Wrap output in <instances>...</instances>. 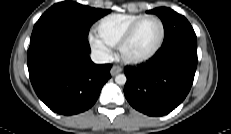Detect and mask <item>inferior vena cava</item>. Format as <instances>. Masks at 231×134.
Returning <instances> with one entry per match:
<instances>
[{
  "label": "inferior vena cava",
  "mask_w": 231,
  "mask_h": 134,
  "mask_svg": "<svg viewBox=\"0 0 231 134\" xmlns=\"http://www.w3.org/2000/svg\"><path fill=\"white\" fill-rule=\"evenodd\" d=\"M91 59L96 64H104L109 62V56L101 51H93L91 53Z\"/></svg>",
  "instance_id": "602c4592"
}]
</instances>
